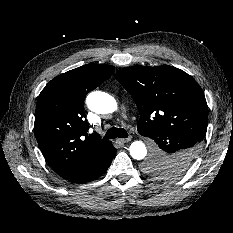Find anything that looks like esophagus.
Here are the masks:
<instances>
[{
  "mask_svg": "<svg viewBox=\"0 0 233 233\" xmlns=\"http://www.w3.org/2000/svg\"><path fill=\"white\" fill-rule=\"evenodd\" d=\"M129 141H131V137L117 139V142L120 144L127 143Z\"/></svg>",
  "mask_w": 233,
  "mask_h": 233,
  "instance_id": "1",
  "label": "esophagus"
}]
</instances>
